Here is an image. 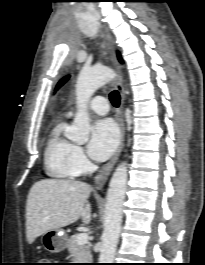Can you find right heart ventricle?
I'll return each instance as SVG.
<instances>
[{"label": "right heart ventricle", "mask_w": 205, "mask_h": 265, "mask_svg": "<svg viewBox=\"0 0 205 265\" xmlns=\"http://www.w3.org/2000/svg\"><path fill=\"white\" fill-rule=\"evenodd\" d=\"M65 126L58 122L52 128L44 148L45 171L56 179H73L79 174L73 163L75 144L65 137Z\"/></svg>", "instance_id": "right-heart-ventricle-1"}]
</instances>
